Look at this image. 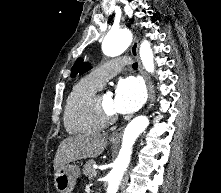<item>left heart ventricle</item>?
<instances>
[{
    "instance_id": "obj_1",
    "label": "left heart ventricle",
    "mask_w": 221,
    "mask_h": 193,
    "mask_svg": "<svg viewBox=\"0 0 221 193\" xmlns=\"http://www.w3.org/2000/svg\"><path fill=\"white\" fill-rule=\"evenodd\" d=\"M113 99L114 96L110 92H103L101 96V101L104 107L111 112H114V106H113Z\"/></svg>"
}]
</instances>
